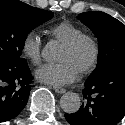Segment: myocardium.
Wrapping results in <instances>:
<instances>
[{
  "mask_svg": "<svg viewBox=\"0 0 125 125\" xmlns=\"http://www.w3.org/2000/svg\"><path fill=\"white\" fill-rule=\"evenodd\" d=\"M83 41H87L88 43H90L92 47V55H91L89 62L79 72L81 75H86L95 68L98 58H99V44L96 41V39L90 34L82 33L70 39L69 41L65 42L64 44H62V46L66 49H74Z\"/></svg>",
  "mask_w": 125,
  "mask_h": 125,
  "instance_id": "myocardium-1",
  "label": "myocardium"
}]
</instances>
